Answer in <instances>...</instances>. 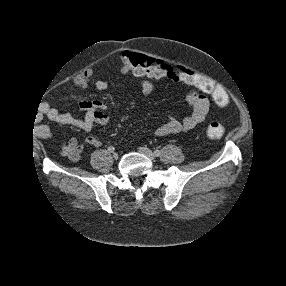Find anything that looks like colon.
<instances>
[{
	"mask_svg": "<svg viewBox=\"0 0 286 286\" xmlns=\"http://www.w3.org/2000/svg\"><path fill=\"white\" fill-rule=\"evenodd\" d=\"M120 71L136 75H147L153 78H170L171 68L162 61L144 56L142 54L125 52L120 58ZM178 79L194 84L198 89L212 96L219 107L228 104V96L223 88L212 80L200 76L192 71L178 68ZM90 78V72L82 73L73 80L74 87L85 86ZM206 136L209 139H220L225 134V126L220 122H212L206 128Z\"/></svg>",
	"mask_w": 286,
	"mask_h": 286,
	"instance_id": "colon-1",
	"label": "colon"
}]
</instances>
